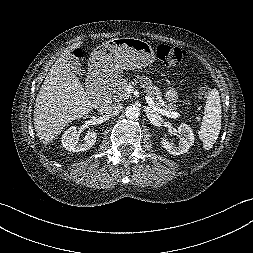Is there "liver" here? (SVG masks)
Returning <instances> with one entry per match:
<instances>
[{
    "label": "liver",
    "instance_id": "liver-1",
    "mask_svg": "<svg viewBox=\"0 0 253 253\" xmlns=\"http://www.w3.org/2000/svg\"><path fill=\"white\" fill-rule=\"evenodd\" d=\"M80 46V42L74 44L61 54L37 95L33 120L36 134L44 144L52 142L66 125L84 117L96 105L73 71L71 52Z\"/></svg>",
    "mask_w": 253,
    "mask_h": 253
}]
</instances>
